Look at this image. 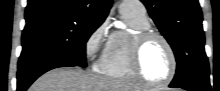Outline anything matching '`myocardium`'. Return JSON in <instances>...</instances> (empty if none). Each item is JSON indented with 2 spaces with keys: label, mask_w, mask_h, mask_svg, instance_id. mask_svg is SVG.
Wrapping results in <instances>:
<instances>
[{
  "label": "myocardium",
  "mask_w": 220,
  "mask_h": 91,
  "mask_svg": "<svg viewBox=\"0 0 220 91\" xmlns=\"http://www.w3.org/2000/svg\"><path fill=\"white\" fill-rule=\"evenodd\" d=\"M155 39L161 41L164 44V46L168 50L171 59L170 73L168 77L161 82H154L146 78L141 67V57L143 49L147 43ZM129 63L137 81L147 87L160 88L167 86L174 79L177 72V57L173 46L171 45L169 40L162 34L150 30L135 34L131 38L129 48Z\"/></svg>",
  "instance_id": "obj_1"
}]
</instances>
